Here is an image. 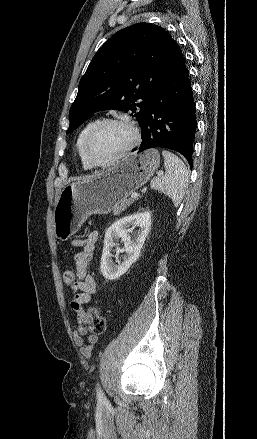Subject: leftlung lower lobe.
<instances>
[{"label": "left lung lower lobe", "mask_w": 257, "mask_h": 439, "mask_svg": "<svg viewBox=\"0 0 257 439\" xmlns=\"http://www.w3.org/2000/svg\"><path fill=\"white\" fill-rule=\"evenodd\" d=\"M196 127L195 103L189 74L183 54L178 48L141 123L142 143L139 151L155 147L172 149L181 153L192 167Z\"/></svg>", "instance_id": "1"}]
</instances>
